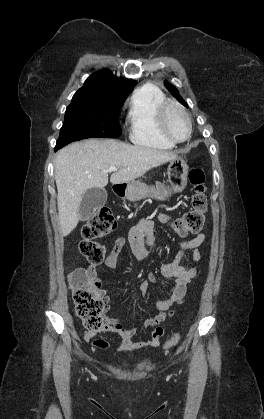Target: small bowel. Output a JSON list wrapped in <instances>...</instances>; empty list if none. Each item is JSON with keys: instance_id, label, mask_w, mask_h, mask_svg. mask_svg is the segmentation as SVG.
Segmentation results:
<instances>
[{"instance_id": "small-bowel-1", "label": "small bowel", "mask_w": 264, "mask_h": 419, "mask_svg": "<svg viewBox=\"0 0 264 419\" xmlns=\"http://www.w3.org/2000/svg\"><path fill=\"white\" fill-rule=\"evenodd\" d=\"M158 219L161 223L167 224L172 221V217L167 214H159ZM153 222L149 219H141L136 225H134L129 234V242L135 253V256L139 260H144L148 257L149 250L146 246V239L151 235L153 230ZM205 240L204 234L200 233L194 238L184 241L180 245V250L173 262L167 263L161 266L160 272L163 277L167 279H173L174 284L169 290L168 298H159L155 302L157 314L144 320L139 326L127 329L124 326L123 320L117 317L106 316L104 318V326L102 331H109L117 334L121 338L120 351L123 353L133 352L146 347H157L160 342V338L164 334V329L161 324L165 321L168 316H172V306L176 304H182L187 297V286L193 281L198 274L196 267H189L184 264L186 260L189 263L198 262L202 258V252L200 246ZM125 243L123 237H118L115 240L112 254L116 255L121 250ZM109 266H113V263L109 262ZM85 271L91 279L95 282L99 293L105 299L106 303H109L110 298L106 294V290L102 288V283L98 277L97 265L91 264ZM150 284H157V278L153 273L148 275V279L143 281L139 289L143 295H145L149 289ZM109 306L107 305V309ZM146 328H154L151 334V338L146 341H134L133 337L141 330ZM98 331H88L84 334L83 338L86 342L92 341ZM94 347L100 350L108 349V342L102 338H98L92 341Z\"/></svg>"}]
</instances>
